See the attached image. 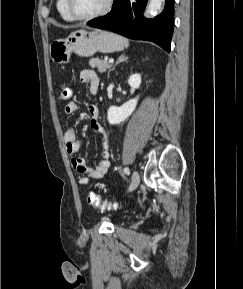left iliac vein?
I'll use <instances>...</instances> for the list:
<instances>
[{"label": "left iliac vein", "mask_w": 243, "mask_h": 289, "mask_svg": "<svg viewBox=\"0 0 243 289\" xmlns=\"http://www.w3.org/2000/svg\"><path fill=\"white\" fill-rule=\"evenodd\" d=\"M140 182V176L139 173L135 170L132 173L131 183L128 188V192H131L137 188Z\"/></svg>", "instance_id": "4c4485c4"}]
</instances>
